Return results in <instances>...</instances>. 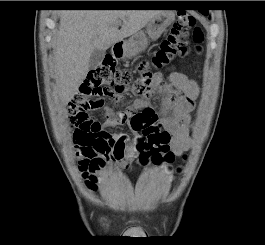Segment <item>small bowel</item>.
Returning <instances> with one entry per match:
<instances>
[{
	"label": "small bowel",
	"instance_id": "obj_1",
	"mask_svg": "<svg viewBox=\"0 0 265 245\" xmlns=\"http://www.w3.org/2000/svg\"><path fill=\"white\" fill-rule=\"evenodd\" d=\"M156 83L157 92L162 96L160 112L153 109L144 98H137L132 106L119 112H114L107 106L104 107L106 120L100 125L99 130L125 144L126 152L122 156H117L108 150L89 149L77 141L75 142L78 169L86 188L90 192H96L99 189V184L106 175L107 167L125 169L129 166L134 143L129 140L128 135L123 133L110 134L107 129L123 123L135 111L152 113L157 117V121L169 130L171 134L169 146L174 155L180 156L191 148L193 141L190 136V113L193 109V102L199 93L197 82L183 73L171 72L164 84L160 76L156 78Z\"/></svg>",
	"mask_w": 265,
	"mask_h": 245
}]
</instances>
